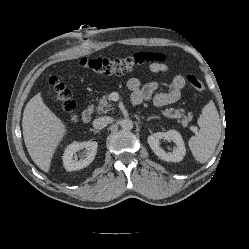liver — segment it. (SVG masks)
<instances>
[{
    "instance_id": "obj_1",
    "label": "liver",
    "mask_w": 249,
    "mask_h": 249,
    "mask_svg": "<svg viewBox=\"0 0 249 249\" xmlns=\"http://www.w3.org/2000/svg\"><path fill=\"white\" fill-rule=\"evenodd\" d=\"M23 137L34 163L48 172L53 154L66 134V126L38 93L27 103L22 119Z\"/></svg>"
}]
</instances>
